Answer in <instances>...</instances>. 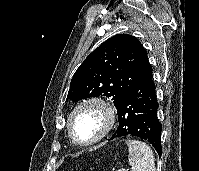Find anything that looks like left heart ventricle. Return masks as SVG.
Returning a JSON list of instances; mask_svg holds the SVG:
<instances>
[{"label":"left heart ventricle","mask_w":199,"mask_h":171,"mask_svg":"<svg viewBox=\"0 0 199 171\" xmlns=\"http://www.w3.org/2000/svg\"><path fill=\"white\" fill-rule=\"evenodd\" d=\"M103 126V116L94 107L81 109L72 122L74 135L81 142H88L94 139L101 132Z\"/></svg>","instance_id":"b2bd125f"}]
</instances>
